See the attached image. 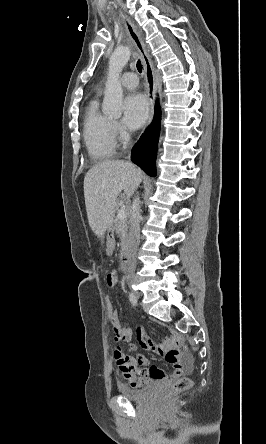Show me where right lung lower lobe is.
<instances>
[{
	"label": "right lung lower lobe",
	"mask_w": 266,
	"mask_h": 444,
	"mask_svg": "<svg viewBox=\"0 0 266 444\" xmlns=\"http://www.w3.org/2000/svg\"><path fill=\"white\" fill-rule=\"evenodd\" d=\"M161 111L158 103L151 125L133 148L132 161L150 176L156 175L155 158L160 132Z\"/></svg>",
	"instance_id": "obj_1"
}]
</instances>
